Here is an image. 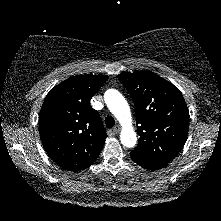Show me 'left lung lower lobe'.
<instances>
[{"label":"left lung lower lobe","mask_w":221,"mask_h":221,"mask_svg":"<svg viewBox=\"0 0 221 221\" xmlns=\"http://www.w3.org/2000/svg\"><path fill=\"white\" fill-rule=\"evenodd\" d=\"M132 160L140 165L141 167L148 170H157L167 166L168 163L152 162L144 159H139L137 157L131 156Z\"/></svg>","instance_id":"1"}]
</instances>
